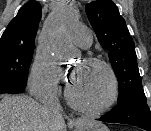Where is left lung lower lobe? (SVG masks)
Masks as SVG:
<instances>
[{"label":"left lung lower lobe","instance_id":"1","mask_svg":"<svg viewBox=\"0 0 151 131\" xmlns=\"http://www.w3.org/2000/svg\"><path fill=\"white\" fill-rule=\"evenodd\" d=\"M104 122L123 123L151 131V111L146 98L134 96L121 105H117L100 119Z\"/></svg>","mask_w":151,"mask_h":131}]
</instances>
